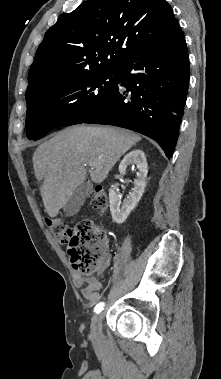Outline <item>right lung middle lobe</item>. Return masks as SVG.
<instances>
[{
    "instance_id": "dd1d6c3e",
    "label": "right lung middle lobe",
    "mask_w": 221,
    "mask_h": 379,
    "mask_svg": "<svg viewBox=\"0 0 221 379\" xmlns=\"http://www.w3.org/2000/svg\"><path fill=\"white\" fill-rule=\"evenodd\" d=\"M117 69L75 77L52 85L27 102V138L38 140L57 127L87 117L110 96Z\"/></svg>"
}]
</instances>
